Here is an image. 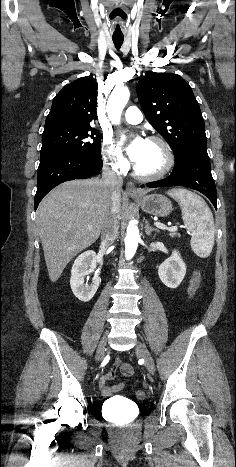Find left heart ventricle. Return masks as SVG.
<instances>
[{
	"label": "left heart ventricle",
	"instance_id": "obj_1",
	"mask_svg": "<svg viewBox=\"0 0 236 467\" xmlns=\"http://www.w3.org/2000/svg\"><path fill=\"white\" fill-rule=\"evenodd\" d=\"M164 161L162 148L157 143L147 141L143 154L135 165L143 173H154L162 168Z\"/></svg>",
	"mask_w": 236,
	"mask_h": 467
}]
</instances>
